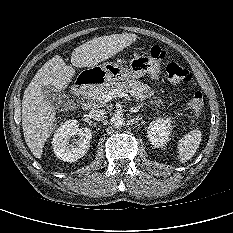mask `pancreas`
Segmentation results:
<instances>
[{"label": "pancreas", "mask_w": 233, "mask_h": 233, "mask_svg": "<svg viewBox=\"0 0 233 233\" xmlns=\"http://www.w3.org/2000/svg\"><path fill=\"white\" fill-rule=\"evenodd\" d=\"M112 89H118L121 91H125L130 93L131 96L136 98L139 101H143L146 98H151L154 95V92L150 89V87L147 84H144L137 80H126L123 82L119 81H110L105 82L101 85L95 86L91 88L90 90L85 92V96L90 100L93 104H101L103 103L100 100V97L105 93ZM153 99H156V97H153ZM151 104L154 103H162V100H151Z\"/></svg>", "instance_id": "pancreas-1"}]
</instances>
